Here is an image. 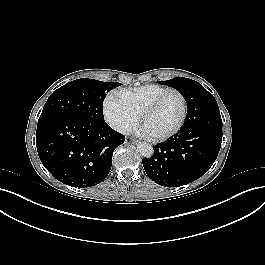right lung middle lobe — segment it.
<instances>
[{
	"instance_id": "dd1d6c3e",
	"label": "right lung middle lobe",
	"mask_w": 265,
	"mask_h": 265,
	"mask_svg": "<svg viewBox=\"0 0 265 265\" xmlns=\"http://www.w3.org/2000/svg\"><path fill=\"white\" fill-rule=\"evenodd\" d=\"M120 85L117 82H101L88 78L71 81L49 96L41 115L61 113L80 118L104 119L102 107L105 91Z\"/></svg>"
}]
</instances>
